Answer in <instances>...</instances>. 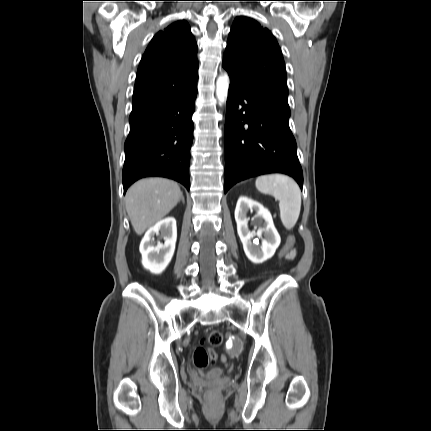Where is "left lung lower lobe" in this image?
Masks as SVG:
<instances>
[{
	"instance_id": "left-lung-lower-lobe-1",
	"label": "left lung lower lobe",
	"mask_w": 431,
	"mask_h": 431,
	"mask_svg": "<svg viewBox=\"0 0 431 431\" xmlns=\"http://www.w3.org/2000/svg\"><path fill=\"white\" fill-rule=\"evenodd\" d=\"M289 107L230 80L225 122L226 193L234 184L267 173H303L289 128Z\"/></svg>"
}]
</instances>
